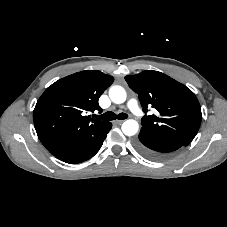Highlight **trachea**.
I'll return each mask as SVG.
<instances>
[{
  "instance_id": "3493384b",
  "label": "trachea",
  "mask_w": 227,
  "mask_h": 227,
  "mask_svg": "<svg viewBox=\"0 0 227 227\" xmlns=\"http://www.w3.org/2000/svg\"><path fill=\"white\" fill-rule=\"evenodd\" d=\"M127 117H128V115L125 113H120V114L116 115L114 112L108 111L100 116H95V119L110 121V120H115V119L124 120Z\"/></svg>"
}]
</instances>
